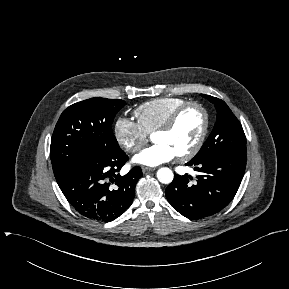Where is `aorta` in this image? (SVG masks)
Masks as SVG:
<instances>
[{"label": "aorta", "instance_id": "1", "mask_svg": "<svg viewBox=\"0 0 289 289\" xmlns=\"http://www.w3.org/2000/svg\"><path fill=\"white\" fill-rule=\"evenodd\" d=\"M174 178L173 172L167 167L160 168L157 171V179L163 184H169Z\"/></svg>", "mask_w": 289, "mask_h": 289}]
</instances>
